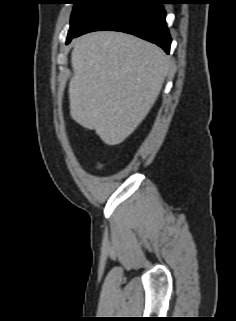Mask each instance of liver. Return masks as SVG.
Returning a JSON list of instances; mask_svg holds the SVG:
<instances>
[{"label":"liver","mask_w":236,"mask_h":321,"mask_svg":"<svg viewBox=\"0 0 236 321\" xmlns=\"http://www.w3.org/2000/svg\"><path fill=\"white\" fill-rule=\"evenodd\" d=\"M69 83L70 115L118 145L145 119L171 69L158 46L121 32L86 34L74 43Z\"/></svg>","instance_id":"1"}]
</instances>
